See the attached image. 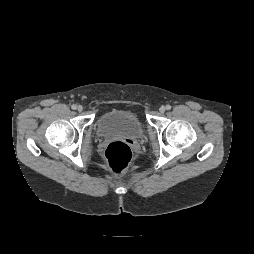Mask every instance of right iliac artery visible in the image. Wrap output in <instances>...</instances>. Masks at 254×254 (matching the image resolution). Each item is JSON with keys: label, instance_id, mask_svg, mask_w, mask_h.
<instances>
[{"label": "right iliac artery", "instance_id": "1", "mask_svg": "<svg viewBox=\"0 0 254 254\" xmlns=\"http://www.w3.org/2000/svg\"><path fill=\"white\" fill-rule=\"evenodd\" d=\"M71 108H72L73 110H75V109L77 108V106H76L75 104H73V105L71 106Z\"/></svg>", "mask_w": 254, "mask_h": 254}]
</instances>
